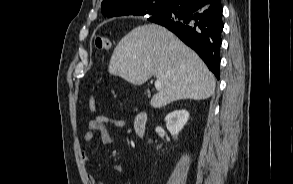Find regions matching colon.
Returning <instances> with one entry per match:
<instances>
[{"mask_svg":"<svg viewBox=\"0 0 293 184\" xmlns=\"http://www.w3.org/2000/svg\"><path fill=\"white\" fill-rule=\"evenodd\" d=\"M95 46L98 50H109L112 47V41L104 36H97L95 38ZM89 108L91 111H95L96 108V100L95 97L92 96L89 99Z\"/></svg>","mask_w":293,"mask_h":184,"instance_id":"1","label":"colon"}]
</instances>
